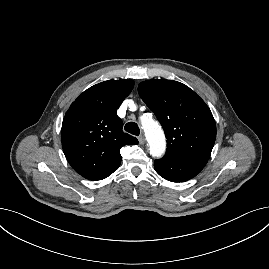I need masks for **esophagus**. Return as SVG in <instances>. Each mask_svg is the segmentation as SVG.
Wrapping results in <instances>:
<instances>
[{"label": "esophagus", "instance_id": "1", "mask_svg": "<svg viewBox=\"0 0 269 269\" xmlns=\"http://www.w3.org/2000/svg\"><path fill=\"white\" fill-rule=\"evenodd\" d=\"M138 140H139V143H140V144H144V143H145V137H144V135H140V136L138 137Z\"/></svg>", "mask_w": 269, "mask_h": 269}]
</instances>
